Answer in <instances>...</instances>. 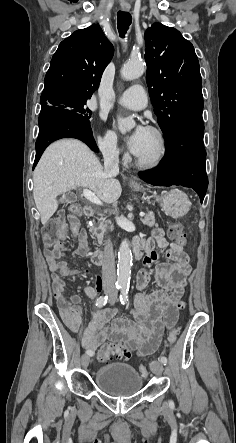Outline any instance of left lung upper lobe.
<instances>
[{
	"label": "left lung upper lobe",
	"instance_id": "1",
	"mask_svg": "<svg viewBox=\"0 0 236 443\" xmlns=\"http://www.w3.org/2000/svg\"><path fill=\"white\" fill-rule=\"evenodd\" d=\"M146 81L166 136L189 117L202 118L203 95L200 67L194 47L175 28L154 23L145 32Z\"/></svg>",
	"mask_w": 236,
	"mask_h": 443
}]
</instances>
